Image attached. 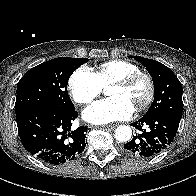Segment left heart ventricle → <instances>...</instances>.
<instances>
[{"mask_svg":"<svg viewBox=\"0 0 196 196\" xmlns=\"http://www.w3.org/2000/svg\"><path fill=\"white\" fill-rule=\"evenodd\" d=\"M147 91V83L141 79L129 87L111 85L108 88L107 94L110 97H123L136 107L145 99Z\"/></svg>","mask_w":196,"mask_h":196,"instance_id":"1","label":"left heart ventricle"}]
</instances>
